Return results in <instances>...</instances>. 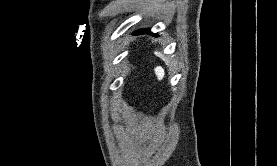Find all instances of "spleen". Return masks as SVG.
I'll list each match as a JSON object with an SVG mask.
<instances>
[{"label": "spleen", "mask_w": 277, "mask_h": 166, "mask_svg": "<svg viewBox=\"0 0 277 166\" xmlns=\"http://www.w3.org/2000/svg\"><path fill=\"white\" fill-rule=\"evenodd\" d=\"M154 53H155L156 56L161 57L163 59V61L168 63V60L166 59V57L162 56L160 52L155 51Z\"/></svg>", "instance_id": "spleen-1"}]
</instances>
